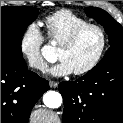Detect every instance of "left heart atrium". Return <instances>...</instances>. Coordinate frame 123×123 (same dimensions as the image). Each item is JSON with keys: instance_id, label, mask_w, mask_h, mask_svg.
<instances>
[{"instance_id": "1", "label": "left heart atrium", "mask_w": 123, "mask_h": 123, "mask_svg": "<svg viewBox=\"0 0 123 123\" xmlns=\"http://www.w3.org/2000/svg\"><path fill=\"white\" fill-rule=\"evenodd\" d=\"M73 72L72 67L65 60L61 59L49 69V73L56 77L66 76Z\"/></svg>"}]
</instances>
